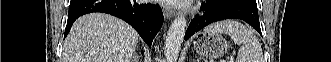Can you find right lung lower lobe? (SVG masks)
I'll list each match as a JSON object with an SVG mask.
<instances>
[{
  "label": "right lung lower lobe",
  "instance_id": "1",
  "mask_svg": "<svg viewBox=\"0 0 331 62\" xmlns=\"http://www.w3.org/2000/svg\"><path fill=\"white\" fill-rule=\"evenodd\" d=\"M92 12L111 14L126 21L149 47L163 23V13L158 4H141L135 0H71L64 36L78 17Z\"/></svg>",
  "mask_w": 331,
  "mask_h": 62
}]
</instances>
